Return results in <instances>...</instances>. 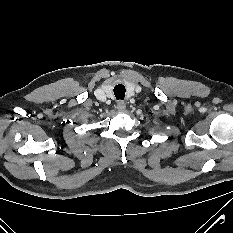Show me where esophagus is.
Listing matches in <instances>:
<instances>
[{
    "label": "esophagus",
    "mask_w": 233,
    "mask_h": 233,
    "mask_svg": "<svg viewBox=\"0 0 233 233\" xmlns=\"http://www.w3.org/2000/svg\"><path fill=\"white\" fill-rule=\"evenodd\" d=\"M117 110L120 112L125 111L126 109V104L124 101H118L117 106H116Z\"/></svg>",
    "instance_id": "1"
}]
</instances>
